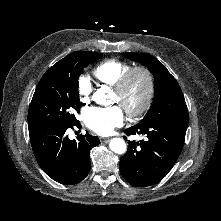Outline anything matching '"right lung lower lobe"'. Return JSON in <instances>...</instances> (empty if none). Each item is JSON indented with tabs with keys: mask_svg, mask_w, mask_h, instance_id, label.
<instances>
[{
	"mask_svg": "<svg viewBox=\"0 0 221 221\" xmlns=\"http://www.w3.org/2000/svg\"><path fill=\"white\" fill-rule=\"evenodd\" d=\"M75 124H56L30 129V141L35 158L42 170L56 182L64 185L79 183L91 168L90 150L100 143L98 137L88 132L70 140L65 134Z\"/></svg>",
	"mask_w": 221,
	"mask_h": 221,
	"instance_id": "1",
	"label": "right lung lower lobe"
}]
</instances>
